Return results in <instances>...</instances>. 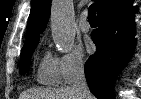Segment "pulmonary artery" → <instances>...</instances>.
Returning <instances> with one entry per match:
<instances>
[{
	"mask_svg": "<svg viewBox=\"0 0 141 99\" xmlns=\"http://www.w3.org/2000/svg\"><path fill=\"white\" fill-rule=\"evenodd\" d=\"M78 26L82 32H88L90 30V24L87 20V12L82 13Z\"/></svg>",
	"mask_w": 141,
	"mask_h": 99,
	"instance_id": "1",
	"label": "pulmonary artery"
}]
</instances>
